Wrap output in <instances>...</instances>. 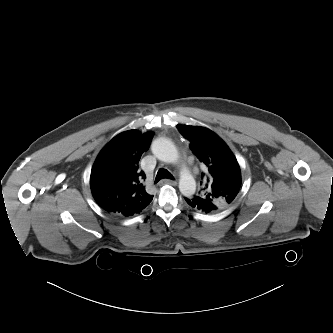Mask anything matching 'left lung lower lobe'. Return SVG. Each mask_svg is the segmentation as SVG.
Listing matches in <instances>:
<instances>
[{"instance_id":"1","label":"left lung lower lobe","mask_w":333,"mask_h":333,"mask_svg":"<svg viewBox=\"0 0 333 333\" xmlns=\"http://www.w3.org/2000/svg\"><path fill=\"white\" fill-rule=\"evenodd\" d=\"M185 201L190 207L206 213L215 212L216 210H218L217 206L213 202H210L198 196L185 198Z\"/></svg>"}]
</instances>
